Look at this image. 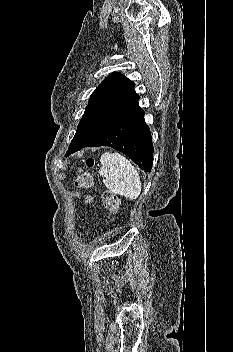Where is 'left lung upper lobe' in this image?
Masks as SVG:
<instances>
[{
    "instance_id": "1",
    "label": "left lung upper lobe",
    "mask_w": 233,
    "mask_h": 352,
    "mask_svg": "<svg viewBox=\"0 0 233 352\" xmlns=\"http://www.w3.org/2000/svg\"><path fill=\"white\" fill-rule=\"evenodd\" d=\"M134 83L112 73L92 93L66 153L72 154L139 107Z\"/></svg>"
}]
</instances>
